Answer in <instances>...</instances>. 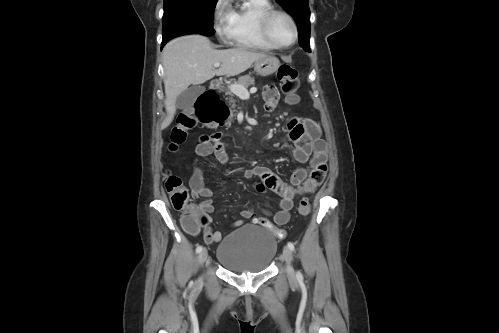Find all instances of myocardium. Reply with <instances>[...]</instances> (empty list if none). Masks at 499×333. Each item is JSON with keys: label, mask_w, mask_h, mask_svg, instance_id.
Listing matches in <instances>:
<instances>
[{"label": "myocardium", "mask_w": 499, "mask_h": 333, "mask_svg": "<svg viewBox=\"0 0 499 333\" xmlns=\"http://www.w3.org/2000/svg\"><path fill=\"white\" fill-rule=\"evenodd\" d=\"M276 15H282L285 18H287L288 21L290 22L291 26H292L293 38H292L291 42L288 43V44H286V45H280V44H278L273 39V37H272V35L270 33V23H271L273 17L276 16ZM260 30H261V33H262L263 37L275 49H287V48L293 46L295 44V42L297 41V38H298V28H297V24H296L294 18L292 17V15L290 13H288L287 11L282 10V9L271 8V9L267 10L266 12H264L262 14V16L260 17Z\"/></svg>", "instance_id": "1"}]
</instances>
